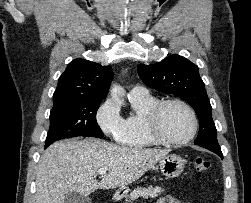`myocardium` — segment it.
Instances as JSON below:
<instances>
[{
	"label": "myocardium",
	"instance_id": "1",
	"mask_svg": "<svg viewBox=\"0 0 251 203\" xmlns=\"http://www.w3.org/2000/svg\"><path fill=\"white\" fill-rule=\"evenodd\" d=\"M169 104H179L189 113L192 120V128L190 133L179 140L169 139L160 131V117L163 109ZM198 117L192 106L186 101L179 98H169L157 101L146 112L145 128L149 137L158 144L168 146H179L190 142L198 131Z\"/></svg>",
	"mask_w": 251,
	"mask_h": 203
}]
</instances>
